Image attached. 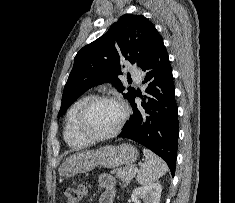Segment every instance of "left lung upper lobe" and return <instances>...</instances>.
Wrapping results in <instances>:
<instances>
[{
	"mask_svg": "<svg viewBox=\"0 0 235 203\" xmlns=\"http://www.w3.org/2000/svg\"><path fill=\"white\" fill-rule=\"evenodd\" d=\"M160 39L154 25L144 16H121L106 34L76 54L58 116L93 86L109 82L123 92L125 87L117 77L121 74L120 61L126 59L141 68ZM134 94L135 89L129 87L123 96L130 101Z\"/></svg>",
	"mask_w": 235,
	"mask_h": 203,
	"instance_id": "obj_1",
	"label": "left lung upper lobe"
}]
</instances>
